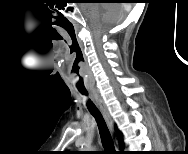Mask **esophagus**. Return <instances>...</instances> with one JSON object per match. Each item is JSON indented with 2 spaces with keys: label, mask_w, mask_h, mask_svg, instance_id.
Returning <instances> with one entry per match:
<instances>
[{
  "label": "esophagus",
  "mask_w": 188,
  "mask_h": 154,
  "mask_svg": "<svg viewBox=\"0 0 188 154\" xmlns=\"http://www.w3.org/2000/svg\"><path fill=\"white\" fill-rule=\"evenodd\" d=\"M98 105L100 107V110H101V112H102V114H103V116H104V118H105V120H106L109 128L113 131V122H112V119H111V117L109 115V112H108L106 106L104 105V103L102 102L101 99L98 100ZM115 143L118 146L117 139H115Z\"/></svg>",
  "instance_id": "obj_1"
}]
</instances>
